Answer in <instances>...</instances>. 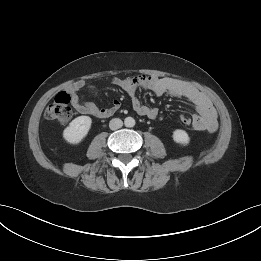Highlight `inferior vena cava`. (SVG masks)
Wrapping results in <instances>:
<instances>
[{
	"mask_svg": "<svg viewBox=\"0 0 261 261\" xmlns=\"http://www.w3.org/2000/svg\"><path fill=\"white\" fill-rule=\"evenodd\" d=\"M123 126V122L119 118H114L110 121L109 127L111 130H117Z\"/></svg>",
	"mask_w": 261,
	"mask_h": 261,
	"instance_id": "602c4592",
	"label": "inferior vena cava"
}]
</instances>
